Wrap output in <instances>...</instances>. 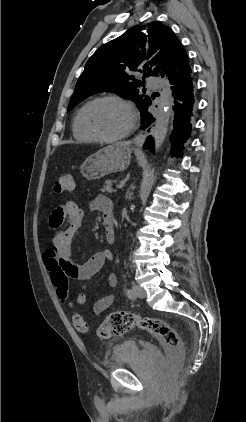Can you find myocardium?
<instances>
[{
	"label": "myocardium",
	"mask_w": 246,
	"mask_h": 422,
	"mask_svg": "<svg viewBox=\"0 0 246 422\" xmlns=\"http://www.w3.org/2000/svg\"><path fill=\"white\" fill-rule=\"evenodd\" d=\"M103 101H113V102H117L121 105H123L129 112V124L128 127L120 134L116 135V136H112V137H106V136H102L100 134H98L91 126L90 121H89V113L90 110L92 109V107L94 105H96L97 103L103 102ZM136 112L135 109L133 107V105L127 101L126 99L117 96V95H104V96H100L97 97L95 99H93L92 101L88 102L84 108L83 111V115H82V123H83V127L85 129V131L97 142H102V143H115L118 142L120 140L125 139L126 137H128L134 130L135 128V124H136Z\"/></svg>",
	"instance_id": "1"
}]
</instances>
